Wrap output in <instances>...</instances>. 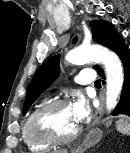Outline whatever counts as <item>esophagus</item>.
I'll use <instances>...</instances> for the list:
<instances>
[{"label": "esophagus", "instance_id": "esophagus-1", "mask_svg": "<svg viewBox=\"0 0 130 153\" xmlns=\"http://www.w3.org/2000/svg\"><path fill=\"white\" fill-rule=\"evenodd\" d=\"M104 104H105V97L102 91L100 94V105L95 113L93 125L97 124L100 121L104 110Z\"/></svg>", "mask_w": 130, "mask_h": 153}]
</instances>
